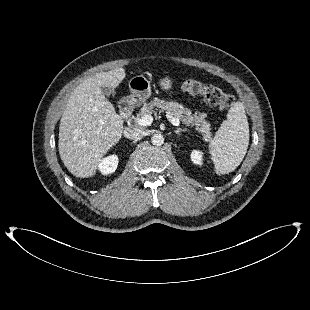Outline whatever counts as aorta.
<instances>
[{
    "instance_id": "762f6f07",
    "label": "aorta",
    "mask_w": 310,
    "mask_h": 310,
    "mask_svg": "<svg viewBox=\"0 0 310 310\" xmlns=\"http://www.w3.org/2000/svg\"><path fill=\"white\" fill-rule=\"evenodd\" d=\"M151 142L155 146H161L164 143V137L161 134H154L151 137Z\"/></svg>"
}]
</instances>
